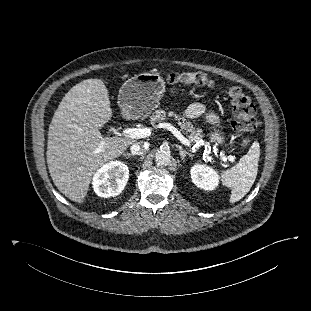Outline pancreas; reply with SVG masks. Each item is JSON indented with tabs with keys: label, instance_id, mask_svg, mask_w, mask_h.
<instances>
[{
	"label": "pancreas",
	"instance_id": "obj_1",
	"mask_svg": "<svg viewBox=\"0 0 311 311\" xmlns=\"http://www.w3.org/2000/svg\"><path fill=\"white\" fill-rule=\"evenodd\" d=\"M169 117H173L177 121L181 129L188 133L187 136L190 143H196L202 139V129L195 128L190 121H186L185 117H181L172 111L166 112L163 109H158L153 112L152 116L150 117V122L153 126H156L157 123H160L161 121L166 120Z\"/></svg>",
	"mask_w": 311,
	"mask_h": 311
}]
</instances>
